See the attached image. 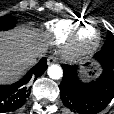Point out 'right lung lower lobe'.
<instances>
[{
    "mask_svg": "<svg viewBox=\"0 0 114 114\" xmlns=\"http://www.w3.org/2000/svg\"><path fill=\"white\" fill-rule=\"evenodd\" d=\"M46 69L47 60L42 58L20 81L12 85H0V113L22 107L31 92L30 82L41 76Z\"/></svg>",
    "mask_w": 114,
    "mask_h": 114,
    "instance_id": "obj_1",
    "label": "right lung lower lobe"
}]
</instances>
